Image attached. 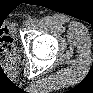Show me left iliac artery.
<instances>
[{"label": "left iliac artery", "instance_id": "1", "mask_svg": "<svg viewBox=\"0 0 93 93\" xmlns=\"http://www.w3.org/2000/svg\"><path fill=\"white\" fill-rule=\"evenodd\" d=\"M32 22H33V23H37V22H38V19L34 18V19L32 20Z\"/></svg>", "mask_w": 93, "mask_h": 93}]
</instances>
